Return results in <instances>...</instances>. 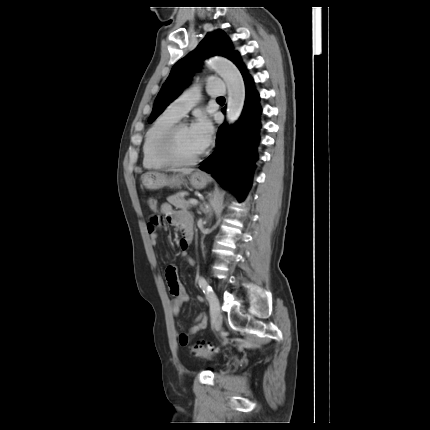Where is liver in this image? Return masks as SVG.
I'll list each match as a JSON object with an SVG mask.
<instances>
[{
	"label": "liver",
	"instance_id": "6515ba94",
	"mask_svg": "<svg viewBox=\"0 0 430 430\" xmlns=\"http://www.w3.org/2000/svg\"><path fill=\"white\" fill-rule=\"evenodd\" d=\"M193 171H194V169H192V168H184V169H176V170H174V172H180V173H182L183 175H189V174H191Z\"/></svg>",
	"mask_w": 430,
	"mask_h": 430
}]
</instances>
